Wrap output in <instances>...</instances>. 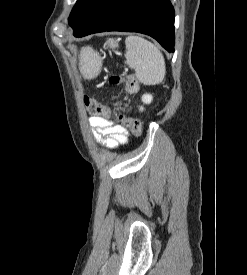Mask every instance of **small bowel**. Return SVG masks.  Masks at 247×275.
<instances>
[{
	"mask_svg": "<svg viewBox=\"0 0 247 275\" xmlns=\"http://www.w3.org/2000/svg\"><path fill=\"white\" fill-rule=\"evenodd\" d=\"M90 126L94 130L97 141L109 149H115L128 142V131L120 125L100 115H93L89 119Z\"/></svg>",
	"mask_w": 247,
	"mask_h": 275,
	"instance_id": "obj_1",
	"label": "small bowel"
}]
</instances>
